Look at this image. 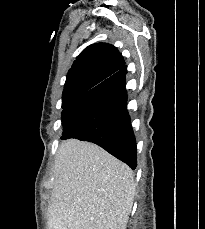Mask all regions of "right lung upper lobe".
<instances>
[{"mask_svg": "<svg viewBox=\"0 0 205 229\" xmlns=\"http://www.w3.org/2000/svg\"><path fill=\"white\" fill-rule=\"evenodd\" d=\"M125 62L117 49L107 43L86 47L76 58L67 74L63 101H75L116 73Z\"/></svg>", "mask_w": 205, "mask_h": 229, "instance_id": "obj_1", "label": "right lung upper lobe"}]
</instances>
